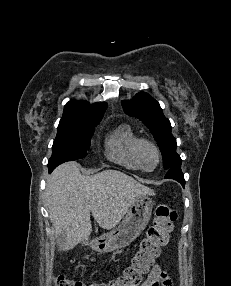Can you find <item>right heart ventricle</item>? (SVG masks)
<instances>
[{
    "instance_id": "right-heart-ventricle-1",
    "label": "right heart ventricle",
    "mask_w": 231,
    "mask_h": 286,
    "mask_svg": "<svg viewBox=\"0 0 231 286\" xmlns=\"http://www.w3.org/2000/svg\"><path fill=\"white\" fill-rule=\"evenodd\" d=\"M139 139L140 137L130 125L118 126L106 139V157L126 169L139 170L135 157Z\"/></svg>"
}]
</instances>
